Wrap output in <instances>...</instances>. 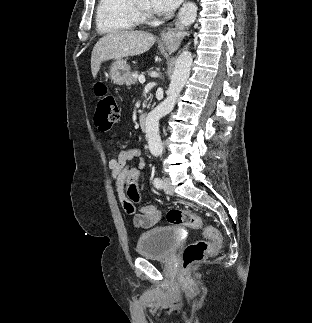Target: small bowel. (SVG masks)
<instances>
[{
	"mask_svg": "<svg viewBox=\"0 0 312 323\" xmlns=\"http://www.w3.org/2000/svg\"><path fill=\"white\" fill-rule=\"evenodd\" d=\"M125 158H134V160H137V163L134 165H125ZM122 167H140V171L143 170V168L145 167V162L142 150L137 147L126 148L121 150L116 157L111 158L108 161V168L111 172L113 179L115 180L118 197L119 199H126V195L124 192V187L126 183L123 182V177L126 176V174H122ZM155 211L156 214L154 216L135 214L133 217L134 225L140 228L153 227L160 220V214L158 210Z\"/></svg>",
	"mask_w": 312,
	"mask_h": 323,
	"instance_id": "1",
	"label": "small bowel"
}]
</instances>
